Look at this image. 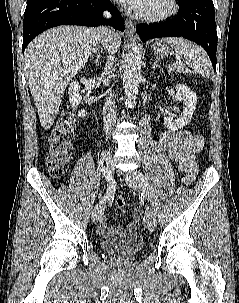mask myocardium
Returning a JSON list of instances; mask_svg holds the SVG:
<instances>
[{"instance_id":"obj_1","label":"myocardium","mask_w":239,"mask_h":303,"mask_svg":"<svg viewBox=\"0 0 239 303\" xmlns=\"http://www.w3.org/2000/svg\"><path fill=\"white\" fill-rule=\"evenodd\" d=\"M166 8L158 12H143L139 11L137 16L141 19L151 22H159L169 19L176 15L179 11V4L177 0H166Z\"/></svg>"}]
</instances>
